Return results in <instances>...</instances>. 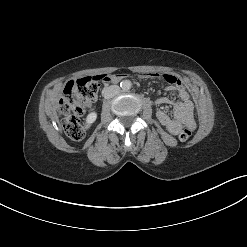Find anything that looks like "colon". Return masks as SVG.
Listing matches in <instances>:
<instances>
[{"mask_svg":"<svg viewBox=\"0 0 247 247\" xmlns=\"http://www.w3.org/2000/svg\"><path fill=\"white\" fill-rule=\"evenodd\" d=\"M106 76L83 77L69 81L63 90L59 100L58 113L66 135L79 141L84 137L80 126V117L84 107L93 102L100 89V81ZM192 135L189 128H184L180 134L181 141H187Z\"/></svg>","mask_w":247,"mask_h":247,"instance_id":"1","label":"colon"}]
</instances>
